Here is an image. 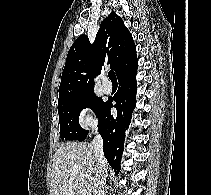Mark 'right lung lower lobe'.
<instances>
[{
	"label": "right lung lower lobe",
	"instance_id": "1",
	"mask_svg": "<svg viewBox=\"0 0 211 195\" xmlns=\"http://www.w3.org/2000/svg\"><path fill=\"white\" fill-rule=\"evenodd\" d=\"M137 64L118 76L119 89L112 100L105 102L99 115L98 131L103 138V152L116 174L120 171L123 153L125 130L131 120V113L136 106V73ZM116 104L117 114H111L112 101Z\"/></svg>",
	"mask_w": 211,
	"mask_h": 195
}]
</instances>
